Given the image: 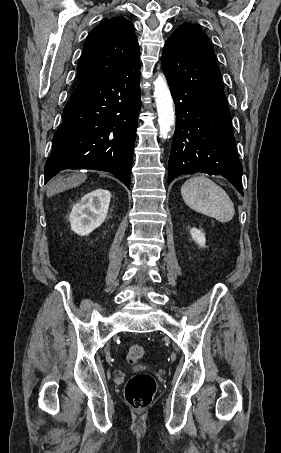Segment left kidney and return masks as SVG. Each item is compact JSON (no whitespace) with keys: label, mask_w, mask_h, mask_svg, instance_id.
Segmentation results:
<instances>
[{"label":"left kidney","mask_w":281,"mask_h":453,"mask_svg":"<svg viewBox=\"0 0 281 453\" xmlns=\"http://www.w3.org/2000/svg\"><path fill=\"white\" fill-rule=\"evenodd\" d=\"M190 235L195 243H198L200 247H205L206 237L200 229H190Z\"/></svg>","instance_id":"left-kidney-1"}]
</instances>
